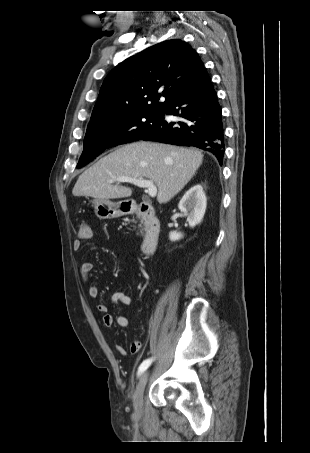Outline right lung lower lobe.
Wrapping results in <instances>:
<instances>
[{
    "label": "right lung lower lobe",
    "mask_w": 310,
    "mask_h": 453,
    "mask_svg": "<svg viewBox=\"0 0 310 453\" xmlns=\"http://www.w3.org/2000/svg\"><path fill=\"white\" fill-rule=\"evenodd\" d=\"M163 115L178 117L162 120L140 140L159 141L178 146H195L213 153L220 165L224 155L222 110L206 71L185 91L163 108Z\"/></svg>",
    "instance_id": "right-lung-lower-lobe-1"
}]
</instances>
